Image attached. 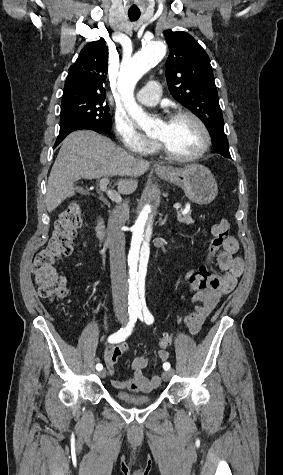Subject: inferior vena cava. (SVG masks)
Returning <instances> with one entry per match:
<instances>
[{"mask_svg": "<svg viewBox=\"0 0 283 475\" xmlns=\"http://www.w3.org/2000/svg\"><path fill=\"white\" fill-rule=\"evenodd\" d=\"M129 212L128 202L116 206L108 220L107 241L110 253V277L115 313H127L128 283L125 261L123 220Z\"/></svg>", "mask_w": 283, "mask_h": 475, "instance_id": "obj_1", "label": "inferior vena cava"}]
</instances>
